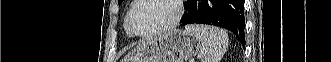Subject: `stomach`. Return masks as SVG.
Segmentation results:
<instances>
[{
    "label": "stomach",
    "mask_w": 331,
    "mask_h": 62,
    "mask_svg": "<svg viewBox=\"0 0 331 62\" xmlns=\"http://www.w3.org/2000/svg\"><path fill=\"white\" fill-rule=\"evenodd\" d=\"M201 49V42L186 30H170L138 44L131 62H186Z\"/></svg>",
    "instance_id": "obj_1"
}]
</instances>
